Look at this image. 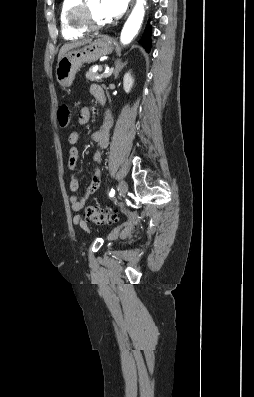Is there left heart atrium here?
<instances>
[{
    "label": "left heart atrium",
    "instance_id": "1",
    "mask_svg": "<svg viewBox=\"0 0 254 397\" xmlns=\"http://www.w3.org/2000/svg\"><path fill=\"white\" fill-rule=\"evenodd\" d=\"M129 0H101L100 9L107 20L118 18L125 11Z\"/></svg>",
    "mask_w": 254,
    "mask_h": 397
}]
</instances>
